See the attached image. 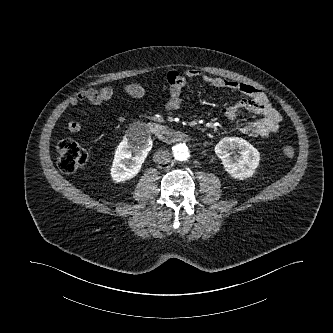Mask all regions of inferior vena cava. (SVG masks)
<instances>
[{
  "instance_id": "602c4592",
  "label": "inferior vena cava",
  "mask_w": 333,
  "mask_h": 333,
  "mask_svg": "<svg viewBox=\"0 0 333 333\" xmlns=\"http://www.w3.org/2000/svg\"><path fill=\"white\" fill-rule=\"evenodd\" d=\"M171 154L167 150H159L154 154V162L164 164L170 161Z\"/></svg>"
}]
</instances>
